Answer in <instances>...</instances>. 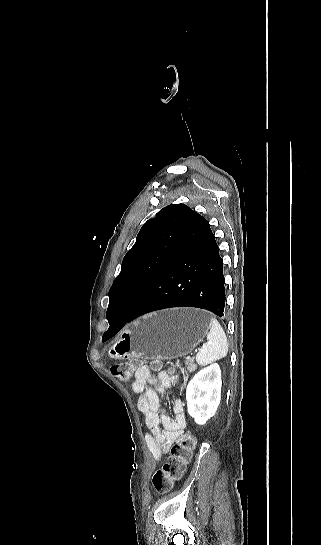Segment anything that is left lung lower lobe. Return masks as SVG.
<instances>
[{
	"label": "left lung lower lobe",
	"instance_id": "0a47b994",
	"mask_svg": "<svg viewBox=\"0 0 321 545\" xmlns=\"http://www.w3.org/2000/svg\"><path fill=\"white\" fill-rule=\"evenodd\" d=\"M181 306L224 315L223 261L207 220L194 211L140 302L130 313H112L108 332L114 335L143 314Z\"/></svg>",
	"mask_w": 321,
	"mask_h": 545
}]
</instances>
